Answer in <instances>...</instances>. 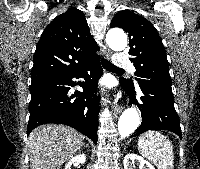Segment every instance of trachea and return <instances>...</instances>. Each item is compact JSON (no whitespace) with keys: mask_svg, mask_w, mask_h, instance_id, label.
Returning <instances> with one entry per match:
<instances>
[{"mask_svg":"<svg viewBox=\"0 0 200 169\" xmlns=\"http://www.w3.org/2000/svg\"><path fill=\"white\" fill-rule=\"evenodd\" d=\"M101 64L106 70H109V71L123 70L122 68H118V67L114 66L111 62H109L106 59H101Z\"/></svg>","mask_w":200,"mask_h":169,"instance_id":"obj_1","label":"trachea"}]
</instances>
